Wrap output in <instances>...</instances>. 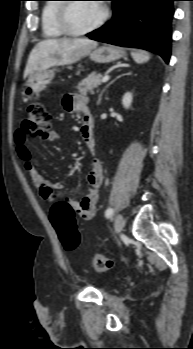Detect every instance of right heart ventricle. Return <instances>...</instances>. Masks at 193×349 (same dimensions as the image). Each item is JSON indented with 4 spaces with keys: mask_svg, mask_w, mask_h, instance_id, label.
Returning a JSON list of instances; mask_svg holds the SVG:
<instances>
[{
    "mask_svg": "<svg viewBox=\"0 0 193 349\" xmlns=\"http://www.w3.org/2000/svg\"><path fill=\"white\" fill-rule=\"evenodd\" d=\"M55 1L59 0H48L41 12V30L45 39H57L64 35L56 23L59 4Z\"/></svg>",
    "mask_w": 193,
    "mask_h": 349,
    "instance_id": "1",
    "label": "right heart ventricle"
}]
</instances>
